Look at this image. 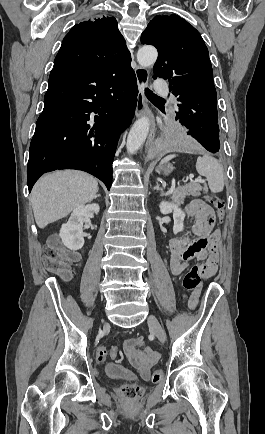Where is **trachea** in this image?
Wrapping results in <instances>:
<instances>
[{"label":"trachea","instance_id":"trachea-1","mask_svg":"<svg viewBox=\"0 0 265 434\" xmlns=\"http://www.w3.org/2000/svg\"><path fill=\"white\" fill-rule=\"evenodd\" d=\"M145 93L148 94V95L153 96L154 98H158L159 100H164L161 97H158L155 94H153V92L151 90H149L148 88H146Z\"/></svg>","mask_w":265,"mask_h":434}]
</instances>
